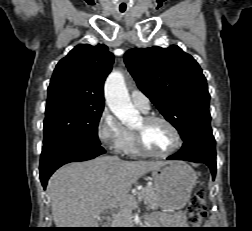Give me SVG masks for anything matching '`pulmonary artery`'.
I'll return each instance as SVG.
<instances>
[{
	"instance_id": "e3ab8cb5",
	"label": "pulmonary artery",
	"mask_w": 252,
	"mask_h": 231,
	"mask_svg": "<svg viewBox=\"0 0 252 231\" xmlns=\"http://www.w3.org/2000/svg\"><path fill=\"white\" fill-rule=\"evenodd\" d=\"M131 100L133 104L142 112L147 113L150 110V101L141 91L134 89L131 91Z\"/></svg>"
}]
</instances>
